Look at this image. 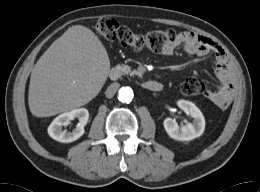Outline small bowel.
<instances>
[{
  "label": "small bowel",
  "mask_w": 260,
  "mask_h": 192,
  "mask_svg": "<svg viewBox=\"0 0 260 192\" xmlns=\"http://www.w3.org/2000/svg\"><path fill=\"white\" fill-rule=\"evenodd\" d=\"M180 45L183 46L188 54L198 57L214 53L216 62L215 73L219 85L215 90H205L204 95L217 106L226 108L236 94L237 81L223 49L210 38L192 31H184L179 34V38L173 45L162 51V54L172 55L174 50Z\"/></svg>",
  "instance_id": "obj_1"
}]
</instances>
